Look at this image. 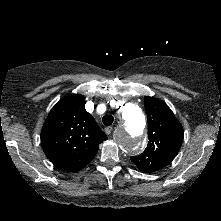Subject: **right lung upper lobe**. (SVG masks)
<instances>
[{
  "label": "right lung upper lobe",
  "mask_w": 221,
  "mask_h": 221,
  "mask_svg": "<svg viewBox=\"0 0 221 221\" xmlns=\"http://www.w3.org/2000/svg\"><path fill=\"white\" fill-rule=\"evenodd\" d=\"M107 140L94 118L85 110V98L71 94L50 111L41 131V144L48 159L59 169L77 172L96 155Z\"/></svg>",
  "instance_id": "cb5924a9"
}]
</instances>
